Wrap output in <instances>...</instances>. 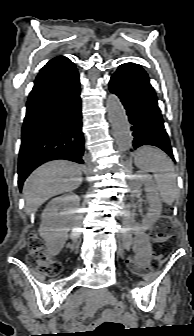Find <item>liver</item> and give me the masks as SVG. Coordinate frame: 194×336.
Masks as SVG:
<instances>
[{
    "instance_id": "obj_1",
    "label": "liver",
    "mask_w": 194,
    "mask_h": 336,
    "mask_svg": "<svg viewBox=\"0 0 194 336\" xmlns=\"http://www.w3.org/2000/svg\"><path fill=\"white\" fill-rule=\"evenodd\" d=\"M82 167L67 160H54L37 168L25 181V212H35L49 198L72 192L82 183Z\"/></svg>"
}]
</instances>
